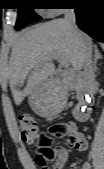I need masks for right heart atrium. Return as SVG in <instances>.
Masks as SVG:
<instances>
[{"label":"right heart atrium","instance_id":"right-heart-atrium-1","mask_svg":"<svg viewBox=\"0 0 104 169\" xmlns=\"http://www.w3.org/2000/svg\"><path fill=\"white\" fill-rule=\"evenodd\" d=\"M46 12L48 15L53 16V15L60 13L61 9H47Z\"/></svg>","mask_w":104,"mask_h":169}]
</instances>
